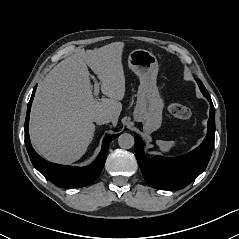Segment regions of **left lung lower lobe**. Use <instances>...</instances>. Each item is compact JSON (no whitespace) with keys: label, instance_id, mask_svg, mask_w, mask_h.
<instances>
[{"label":"left lung lower lobe","instance_id":"1","mask_svg":"<svg viewBox=\"0 0 239 239\" xmlns=\"http://www.w3.org/2000/svg\"><path fill=\"white\" fill-rule=\"evenodd\" d=\"M202 94L210 102L208 131L204 141L188 154L163 158L156 156L147 159L144 155V143L135 135V154L146 183L155 189L179 190L194 181L206 168L214 147L215 108L211 97L199 79H196Z\"/></svg>","mask_w":239,"mask_h":239}]
</instances>
